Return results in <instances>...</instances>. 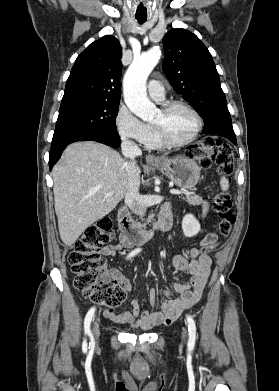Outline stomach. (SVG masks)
<instances>
[{
  "mask_svg": "<svg viewBox=\"0 0 279 391\" xmlns=\"http://www.w3.org/2000/svg\"><path fill=\"white\" fill-rule=\"evenodd\" d=\"M154 166L183 189L193 188L200 179V168L193 159L177 156L172 159L162 157Z\"/></svg>",
  "mask_w": 279,
  "mask_h": 391,
  "instance_id": "obj_1",
  "label": "stomach"
}]
</instances>
